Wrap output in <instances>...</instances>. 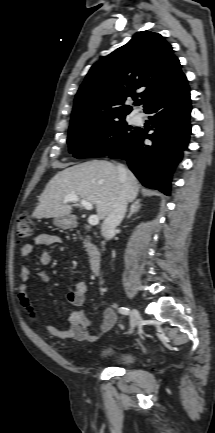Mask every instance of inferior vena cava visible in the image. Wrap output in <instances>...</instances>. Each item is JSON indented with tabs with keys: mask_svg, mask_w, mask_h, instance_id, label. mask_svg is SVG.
<instances>
[{
	"mask_svg": "<svg viewBox=\"0 0 215 433\" xmlns=\"http://www.w3.org/2000/svg\"><path fill=\"white\" fill-rule=\"evenodd\" d=\"M118 172L120 178H123L125 175V169L123 167H118ZM126 208V193L124 189H121L101 227L102 236L106 240L114 235L115 228L121 223L125 216Z\"/></svg>",
	"mask_w": 215,
	"mask_h": 433,
	"instance_id": "602c4592",
	"label": "inferior vena cava"
}]
</instances>
